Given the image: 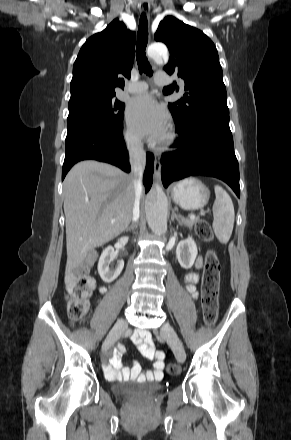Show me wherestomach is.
Instances as JSON below:
<instances>
[{
    "label": "stomach",
    "instance_id": "1",
    "mask_svg": "<svg viewBox=\"0 0 291 440\" xmlns=\"http://www.w3.org/2000/svg\"><path fill=\"white\" fill-rule=\"evenodd\" d=\"M175 203L186 210H197L205 206L210 197L209 189L196 178H187L172 189Z\"/></svg>",
    "mask_w": 291,
    "mask_h": 440
}]
</instances>
